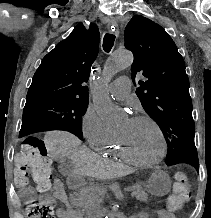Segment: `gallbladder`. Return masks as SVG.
Here are the masks:
<instances>
[{
    "instance_id": "1",
    "label": "gallbladder",
    "mask_w": 211,
    "mask_h": 218,
    "mask_svg": "<svg viewBox=\"0 0 211 218\" xmlns=\"http://www.w3.org/2000/svg\"><path fill=\"white\" fill-rule=\"evenodd\" d=\"M58 170L62 176H72L75 166L71 160H62L59 162Z\"/></svg>"
}]
</instances>
